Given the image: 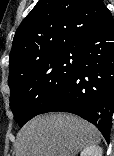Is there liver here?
Returning a JSON list of instances; mask_svg holds the SVG:
<instances>
[{
	"mask_svg": "<svg viewBox=\"0 0 114 156\" xmlns=\"http://www.w3.org/2000/svg\"><path fill=\"white\" fill-rule=\"evenodd\" d=\"M101 133L91 123L71 114L39 115L17 135L16 156H76L98 145Z\"/></svg>",
	"mask_w": 114,
	"mask_h": 156,
	"instance_id": "liver-1",
	"label": "liver"
}]
</instances>
